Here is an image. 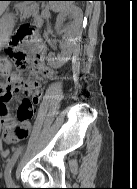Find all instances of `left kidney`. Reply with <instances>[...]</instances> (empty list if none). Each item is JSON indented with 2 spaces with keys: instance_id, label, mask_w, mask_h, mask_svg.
<instances>
[{
  "instance_id": "left-kidney-1",
  "label": "left kidney",
  "mask_w": 137,
  "mask_h": 189,
  "mask_svg": "<svg viewBox=\"0 0 137 189\" xmlns=\"http://www.w3.org/2000/svg\"><path fill=\"white\" fill-rule=\"evenodd\" d=\"M67 16H70V17L78 19L80 17V12L77 10L76 7H73V6L66 8L57 17V22H56L57 28L61 27V25L63 24V22H64V20H65V18ZM70 56H71V52L70 51H64L57 58L54 57L52 54H49L48 61L52 65H54L56 67H60L61 65H63L65 62H67L70 59Z\"/></svg>"
}]
</instances>
